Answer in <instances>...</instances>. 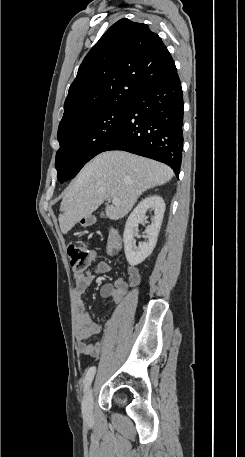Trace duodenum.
I'll use <instances>...</instances> for the list:
<instances>
[{"mask_svg": "<svg viewBox=\"0 0 245 457\" xmlns=\"http://www.w3.org/2000/svg\"><path fill=\"white\" fill-rule=\"evenodd\" d=\"M108 243H109V247L114 252L118 251L120 249V247H121L120 236L118 235V233L114 229L110 230Z\"/></svg>", "mask_w": 245, "mask_h": 457, "instance_id": "1", "label": "duodenum"}]
</instances>
